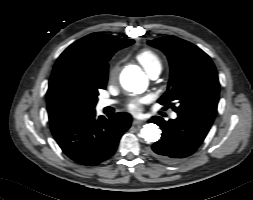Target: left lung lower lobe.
<instances>
[{
    "mask_svg": "<svg viewBox=\"0 0 253 200\" xmlns=\"http://www.w3.org/2000/svg\"><path fill=\"white\" fill-rule=\"evenodd\" d=\"M151 122L162 129L161 139L149 151L152 157L174 163L193 154L205 139L214 118L201 114H178L175 120L153 117Z\"/></svg>",
    "mask_w": 253,
    "mask_h": 200,
    "instance_id": "1",
    "label": "left lung lower lobe"
}]
</instances>
